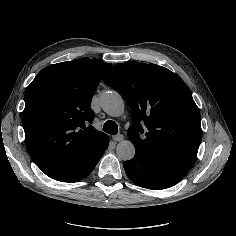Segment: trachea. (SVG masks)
<instances>
[{"mask_svg": "<svg viewBox=\"0 0 236 236\" xmlns=\"http://www.w3.org/2000/svg\"><path fill=\"white\" fill-rule=\"evenodd\" d=\"M103 130L108 134L116 135L118 133V126L115 121L108 120L104 123Z\"/></svg>", "mask_w": 236, "mask_h": 236, "instance_id": "3493384b", "label": "trachea"}]
</instances>
